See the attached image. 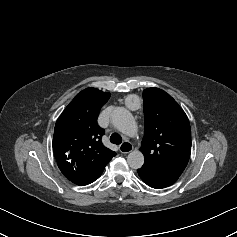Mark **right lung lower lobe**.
<instances>
[{
    "label": "right lung lower lobe",
    "instance_id": "1",
    "mask_svg": "<svg viewBox=\"0 0 237 237\" xmlns=\"http://www.w3.org/2000/svg\"><path fill=\"white\" fill-rule=\"evenodd\" d=\"M60 170L62 171V173L64 174V176L66 178H68L70 181H72L73 183L77 184V185H87L92 183L93 181H95L97 178L100 177L99 174L97 176H71L68 172H66L65 170H63L61 167H59Z\"/></svg>",
    "mask_w": 237,
    "mask_h": 237
}]
</instances>
